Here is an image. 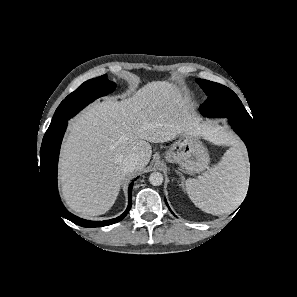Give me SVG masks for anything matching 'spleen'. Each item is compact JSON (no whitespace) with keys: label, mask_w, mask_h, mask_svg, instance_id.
<instances>
[{"label":"spleen","mask_w":297,"mask_h":297,"mask_svg":"<svg viewBox=\"0 0 297 297\" xmlns=\"http://www.w3.org/2000/svg\"><path fill=\"white\" fill-rule=\"evenodd\" d=\"M248 184V168L242 149L234 145L220 162L197 179L186 181L189 198L204 212L227 213L239 206Z\"/></svg>","instance_id":"spleen-1"}]
</instances>
